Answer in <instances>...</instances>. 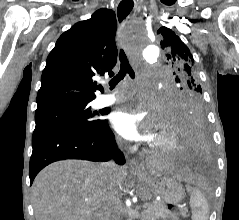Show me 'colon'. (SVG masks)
Returning a JSON list of instances; mask_svg holds the SVG:
<instances>
[{"mask_svg": "<svg viewBox=\"0 0 239 220\" xmlns=\"http://www.w3.org/2000/svg\"><path fill=\"white\" fill-rule=\"evenodd\" d=\"M174 207H175L174 204H169V205H168V208H169V209H174ZM173 220H177V219H173Z\"/></svg>", "mask_w": 239, "mask_h": 220, "instance_id": "1", "label": "colon"}]
</instances>
